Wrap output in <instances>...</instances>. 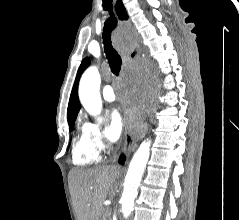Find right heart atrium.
Returning <instances> with one entry per match:
<instances>
[{"label": "right heart atrium", "instance_id": "d8ad5b80", "mask_svg": "<svg viewBox=\"0 0 239 220\" xmlns=\"http://www.w3.org/2000/svg\"><path fill=\"white\" fill-rule=\"evenodd\" d=\"M81 132L98 155L106 153L110 149L100 120H85L82 123Z\"/></svg>", "mask_w": 239, "mask_h": 220}]
</instances>
